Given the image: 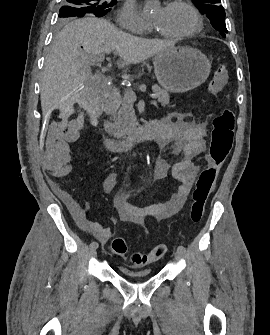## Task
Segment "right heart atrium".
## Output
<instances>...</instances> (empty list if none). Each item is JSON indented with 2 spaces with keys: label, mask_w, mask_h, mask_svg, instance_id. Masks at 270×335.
<instances>
[{
  "label": "right heart atrium",
  "mask_w": 270,
  "mask_h": 335,
  "mask_svg": "<svg viewBox=\"0 0 270 335\" xmlns=\"http://www.w3.org/2000/svg\"><path fill=\"white\" fill-rule=\"evenodd\" d=\"M116 21L120 28L124 25L129 27L128 31L139 35H149L151 33L150 24L142 17L136 3L128 0L117 14Z\"/></svg>",
  "instance_id": "right-heart-atrium-1"
}]
</instances>
